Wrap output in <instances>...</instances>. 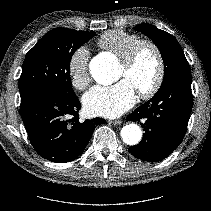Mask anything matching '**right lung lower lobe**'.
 <instances>
[{
	"instance_id": "1",
	"label": "right lung lower lobe",
	"mask_w": 211,
	"mask_h": 211,
	"mask_svg": "<svg viewBox=\"0 0 211 211\" xmlns=\"http://www.w3.org/2000/svg\"><path fill=\"white\" fill-rule=\"evenodd\" d=\"M81 104L76 95L63 97L38 93L21 101L20 114L36 152L52 162L66 163L79 157L102 118L79 122ZM72 116L71 119H68Z\"/></svg>"
}]
</instances>
